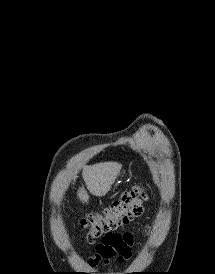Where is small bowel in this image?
<instances>
[{"label": "small bowel", "instance_id": "1", "mask_svg": "<svg viewBox=\"0 0 215 274\" xmlns=\"http://www.w3.org/2000/svg\"><path fill=\"white\" fill-rule=\"evenodd\" d=\"M133 235L125 233H107L96 245V253L90 259V264L95 266L99 261L109 263L112 260L123 262L132 256Z\"/></svg>", "mask_w": 215, "mask_h": 274}]
</instances>
